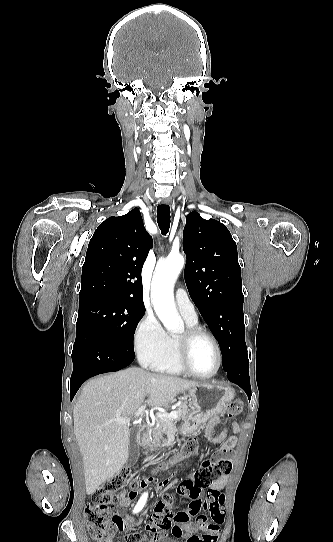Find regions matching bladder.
Instances as JSON below:
<instances>
[{
	"instance_id": "31cf9c89",
	"label": "bladder",
	"mask_w": 333,
	"mask_h": 542,
	"mask_svg": "<svg viewBox=\"0 0 333 542\" xmlns=\"http://www.w3.org/2000/svg\"><path fill=\"white\" fill-rule=\"evenodd\" d=\"M171 538V537H167ZM157 542H178L175 538L169 539V540H158Z\"/></svg>"
}]
</instances>
